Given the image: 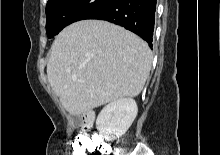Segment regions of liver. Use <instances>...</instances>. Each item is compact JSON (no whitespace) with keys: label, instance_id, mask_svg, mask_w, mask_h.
Instances as JSON below:
<instances>
[{"label":"liver","instance_id":"6515ba94","mask_svg":"<svg viewBox=\"0 0 220 155\" xmlns=\"http://www.w3.org/2000/svg\"><path fill=\"white\" fill-rule=\"evenodd\" d=\"M151 64L148 44L132 32L106 21L82 20L55 38L47 77L65 110L79 115L138 96Z\"/></svg>","mask_w":220,"mask_h":155}]
</instances>
